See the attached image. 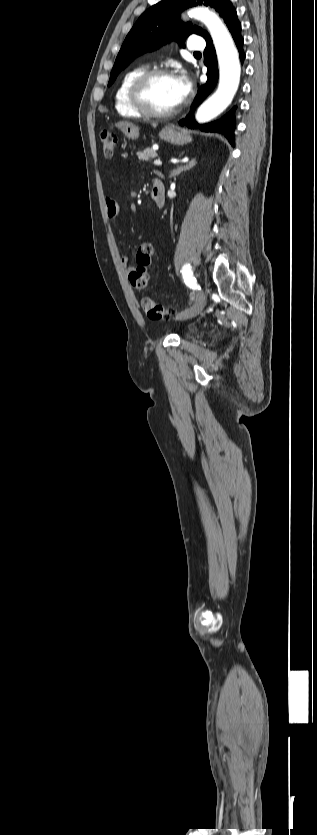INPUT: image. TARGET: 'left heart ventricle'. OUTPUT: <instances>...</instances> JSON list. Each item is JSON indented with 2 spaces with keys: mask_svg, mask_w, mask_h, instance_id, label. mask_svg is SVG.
I'll list each match as a JSON object with an SVG mask.
<instances>
[{
  "mask_svg": "<svg viewBox=\"0 0 317 835\" xmlns=\"http://www.w3.org/2000/svg\"><path fill=\"white\" fill-rule=\"evenodd\" d=\"M147 99L150 105L158 111H166L174 108L177 102L174 77L156 78L147 91Z\"/></svg>",
  "mask_w": 317,
  "mask_h": 835,
  "instance_id": "left-heart-ventricle-1",
  "label": "left heart ventricle"
}]
</instances>
